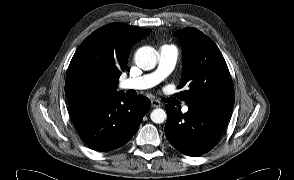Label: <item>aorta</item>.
I'll use <instances>...</instances> for the list:
<instances>
[{"instance_id":"762f6f07","label":"aorta","mask_w":294,"mask_h":180,"mask_svg":"<svg viewBox=\"0 0 294 180\" xmlns=\"http://www.w3.org/2000/svg\"><path fill=\"white\" fill-rule=\"evenodd\" d=\"M135 63L142 70H151L157 64L156 50L150 46H143L135 53ZM166 112L161 108L154 109L151 114V120L156 124H161L166 120Z\"/></svg>"}]
</instances>
